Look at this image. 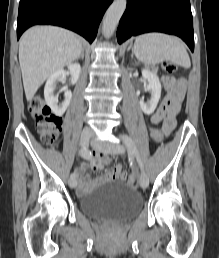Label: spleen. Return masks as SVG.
Masks as SVG:
<instances>
[{
    "instance_id": "1",
    "label": "spleen",
    "mask_w": 219,
    "mask_h": 258,
    "mask_svg": "<svg viewBox=\"0 0 219 258\" xmlns=\"http://www.w3.org/2000/svg\"><path fill=\"white\" fill-rule=\"evenodd\" d=\"M133 53L145 64L172 61L184 68L191 66L184 43L177 37L163 33H146L135 39Z\"/></svg>"
}]
</instances>
